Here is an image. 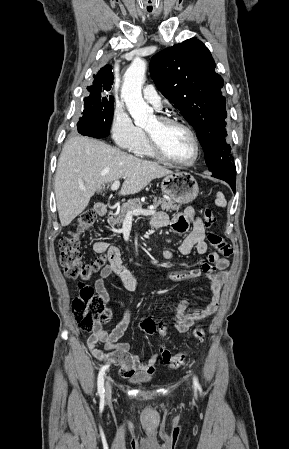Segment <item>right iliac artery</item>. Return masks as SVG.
Masks as SVG:
<instances>
[{"label": "right iliac artery", "instance_id": "1", "mask_svg": "<svg viewBox=\"0 0 289 449\" xmlns=\"http://www.w3.org/2000/svg\"><path fill=\"white\" fill-rule=\"evenodd\" d=\"M109 368V365H104L99 374H98V380H97V386H98V394L99 396L103 399L104 398V393H105V389H104V375L106 370Z\"/></svg>", "mask_w": 289, "mask_h": 449}]
</instances>
